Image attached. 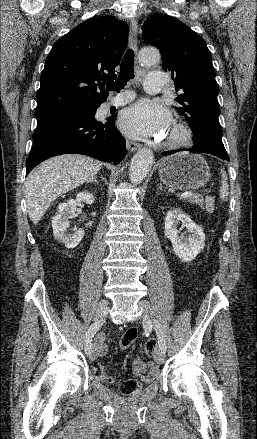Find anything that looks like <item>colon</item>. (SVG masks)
<instances>
[{
	"mask_svg": "<svg viewBox=\"0 0 257 439\" xmlns=\"http://www.w3.org/2000/svg\"><path fill=\"white\" fill-rule=\"evenodd\" d=\"M137 337V330L135 328H129L123 334L120 345L122 349H128ZM156 344L154 340H149L146 342L144 346V352L147 356L151 357L155 353ZM93 372L95 376L106 383H113L114 378L111 374H109L103 366L98 363L93 364L92 366ZM140 388V382L136 379H128L122 382L120 385L121 392L124 394H131L138 391Z\"/></svg>",
	"mask_w": 257,
	"mask_h": 439,
	"instance_id": "5ec220e1",
	"label": "colon"
}]
</instances>
